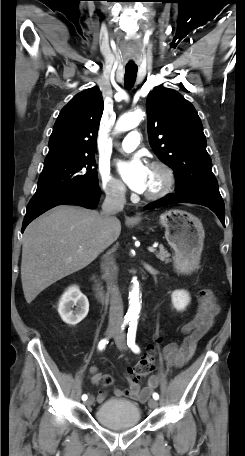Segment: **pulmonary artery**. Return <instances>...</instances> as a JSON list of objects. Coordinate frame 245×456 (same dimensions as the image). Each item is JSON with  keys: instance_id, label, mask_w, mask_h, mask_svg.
I'll return each mask as SVG.
<instances>
[{"instance_id": "pulmonary-artery-1", "label": "pulmonary artery", "mask_w": 245, "mask_h": 456, "mask_svg": "<svg viewBox=\"0 0 245 456\" xmlns=\"http://www.w3.org/2000/svg\"><path fill=\"white\" fill-rule=\"evenodd\" d=\"M140 143V134L138 131H131L124 140L118 145L119 149L124 152H132Z\"/></svg>"}]
</instances>
